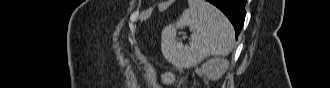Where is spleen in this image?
Listing matches in <instances>:
<instances>
[{
    "label": "spleen",
    "instance_id": "3e777b00",
    "mask_svg": "<svg viewBox=\"0 0 330 88\" xmlns=\"http://www.w3.org/2000/svg\"><path fill=\"white\" fill-rule=\"evenodd\" d=\"M189 7L161 34L163 56L176 67L190 68L210 56H227L234 47V29L225 15L205 0H188ZM189 26V45L177 41L178 29Z\"/></svg>",
    "mask_w": 330,
    "mask_h": 88
}]
</instances>
